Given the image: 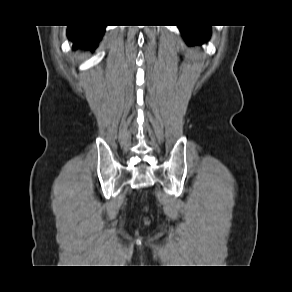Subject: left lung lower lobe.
Returning <instances> with one entry per match:
<instances>
[{
  "mask_svg": "<svg viewBox=\"0 0 292 292\" xmlns=\"http://www.w3.org/2000/svg\"><path fill=\"white\" fill-rule=\"evenodd\" d=\"M189 44H201L210 36L208 26H179Z\"/></svg>",
  "mask_w": 292,
  "mask_h": 292,
  "instance_id": "0a47b994",
  "label": "left lung lower lobe"
}]
</instances>
